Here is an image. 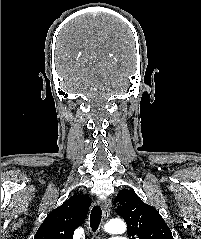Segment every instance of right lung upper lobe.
Wrapping results in <instances>:
<instances>
[{"instance_id": "obj_1", "label": "right lung upper lobe", "mask_w": 201, "mask_h": 239, "mask_svg": "<svg viewBox=\"0 0 201 239\" xmlns=\"http://www.w3.org/2000/svg\"><path fill=\"white\" fill-rule=\"evenodd\" d=\"M90 205V197L74 194L48 214L34 239H73L74 231L84 222Z\"/></svg>"}]
</instances>
